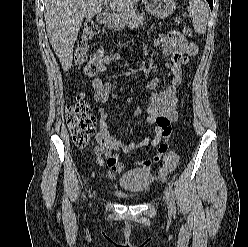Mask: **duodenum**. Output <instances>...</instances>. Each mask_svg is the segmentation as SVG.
I'll return each mask as SVG.
<instances>
[{"label": "duodenum", "mask_w": 248, "mask_h": 247, "mask_svg": "<svg viewBox=\"0 0 248 247\" xmlns=\"http://www.w3.org/2000/svg\"><path fill=\"white\" fill-rule=\"evenodd\" d=\"M99 20L102 24H108L112 21V17L108 13H101L99 15Z\"/></svg>", "instance_id": "duodenum-1"}]
</instances>
